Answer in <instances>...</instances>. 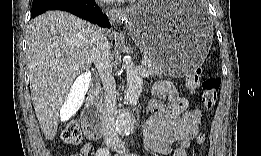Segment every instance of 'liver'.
Segmentation results:
<instances>
[{"instance_id": "obj_1", "label": "liver", "mask_w": 261, "mask_h": 156, "mask_svg": "<svg viewBox=\"0 0 261 156\" xmlns=\"http://www.w3.org/2000/svg\"><path fill=\"white\" fill-rule=\"evenodd\" d=\"M97 30L89 22L63 11H48L33 19L28 27L31 97L40 127L49 141L57 133L60 118L67 120L81 104V100H75L67 111L69 91L93 63V38Z\"/></svg>"}]
</instances>
